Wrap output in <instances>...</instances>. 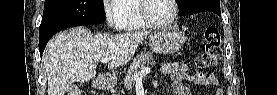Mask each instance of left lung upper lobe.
I'll return each mask as SVG.
<instances>
[{"label":"left lung upper lobe","instance_id":"5c2ea615","mask_svg":"<svg viewBox=\"0 0 277 95\" xmlns=\"http://www.w3.org/2000/svg\"><path fill=\"white\" fill-rule=\"evenodd\" d=\"M179 15H191L201 11H211L221 16L220 0H176Z\"/></svg>","mask_w":277,"mask_h":95}]
</instances>
